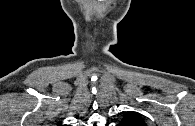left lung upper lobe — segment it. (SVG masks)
I'll return each mask as SVG.
<instances>
[{
	"label": "left lung upper lobe",
	"mask_w": 195,
	"mask_h": 126,
	"mask_svg": "<svg viewBox=\"0 0 195 126\" xmlns=\"http://www.w3.org/2000/svg\"><path fill=\"white\" fill-rule=\"evenodd\" d=\"M120 123L125 126H146L140 114L135 112H130L125 115Z\"/></svg>",
	"instance_id": "5c2ea615"
}]
</instances>
